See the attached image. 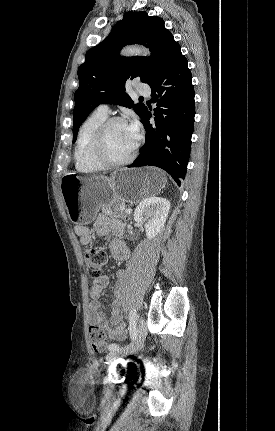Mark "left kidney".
I'll use <instances>...</instances> for the list:
<instances>
[{"label":"left kidney","instance_id":"obj_1","mask_svg":"<svg viewBox=\"0 0 275 431\" xmlns=\"http://www.w3.org/2000/svg\"><path fill=\"white\" fill-rule=\"evenodd\" d=\"M170 202L161 197H149L135 209L134 220L144 224L148 239L154 238L164 226L168 217Z\"/></svg>","mask_w":275,"mask_h":431}]
</instances>
